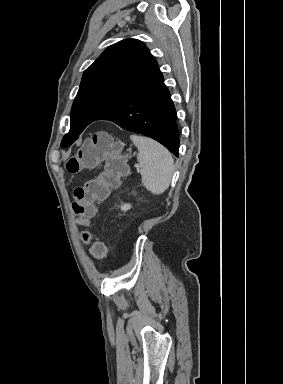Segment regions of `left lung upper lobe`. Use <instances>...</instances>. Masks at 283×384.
<instances>
[{
	"mask_svg": "<svg viewBox=\"0 0 283 384\" xmlns=\"http://www.w3.org/2000/svg\"><path fill=\"white\" fill-rule=\"evenodd\" d=\"M157 68L149 49L137 39L107 48L83 74L71 109L70 131L61 147L71 145L87 125L120 103Z\"/></svg>",
	"mask_w": 283,
	"mask_h": 384,
	"instance_id": "1",
	"label": "left lung upper lobe"
}]
</instances>
